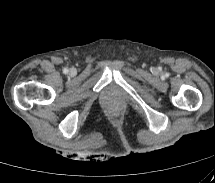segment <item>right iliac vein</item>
I'll list each match as a JSON object with an SVG mask.
<instances>
[{
    "label": "right iliac vein",
    "instance_id": "obj_1",
    "mask_svg": "<svg viewBox=\"0 0 215 183\" xmlns=\"http://www.w3.org/2000/svg\"><path fill=\"white\" fill-rule=\"evenodd\" d=\"M70 73H71V74H74V73H75V70H74V69H71V70H70Z\"/></svg>",
    "mask_w": 215,
    "mask_h": 183
}]
</instances>
